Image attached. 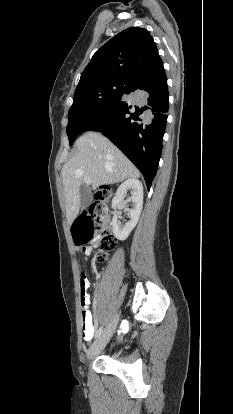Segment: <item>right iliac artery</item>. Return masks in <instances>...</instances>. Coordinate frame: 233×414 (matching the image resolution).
Wrapping results in <instances>:
<instances>
[{
    "label": "right iliac artery",
    "instance_id": "right-iliac-artery-1",
    "mask_svg": "<svg viewBox=\"0 0 233 414\" xmlns=\"http://www.w3.org/2000/svg\"><path fill=\"white\" fill-rule=\"evenodd\" d=\"M103 332V327H100L97 332H96V338L99 337L101 335V333Z\"/></svg>",
    "mask_w": 233,
    "mask_h": 414
}]
</instances>
